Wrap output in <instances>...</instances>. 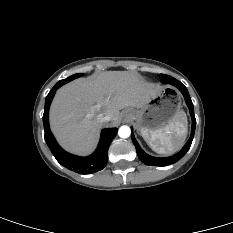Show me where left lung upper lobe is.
Returning a JSON list of instances; mask_svg holds the SVG:
<instances>
[{"label":"left lung upper lobe","instance_id":"obj_1","mask_svg":"<svg viewBox=\"0 0 233 233\" xmlns=\"http://www.w3.org/2000/svg\"><path fill=\"white\" fill-rule=\"evenodd\" d=\"M159 76L161 78L162 83H168L173 78V77H171L169 75H165V74H160Z\"/></svg>","mask_w":233,"mask_h":233}]
</instances>
